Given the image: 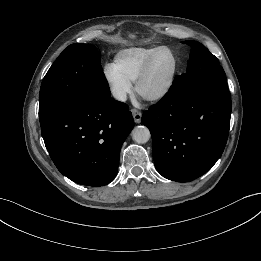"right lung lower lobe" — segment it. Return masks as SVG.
<instances>
[{"instance_id":"obj_1","label":"right lung lower lobe","mask_w":261,"mask_h":261,"mask_svg":"<svg viewBox=\"0 0 261 261\" xmlns=\"http://www.w3.org/2000/svg\"><path fill=\"white\" fill-rule=\"evenodd\" d=\"M40 124L58 170L78 184L98 187L116 176L120 149L134 120L122 102L86 97L66 104Z\"/></svg>"}]
</instances>
